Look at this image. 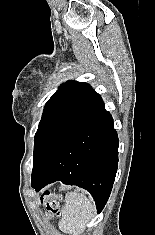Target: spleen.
I'll list each match as a JSON object with an SVG mask.
<instances>
[{"instance_id":"3e777b00","label":"spleen","mask_w":155,"mask_h":235,"mask_svg":"<svg viewBox=\"0 0 155 235\" xmlns=\"http://www.w3.org/2000/svg\"><path fill=\"white\" fill-rule=\"evenodd\" d=\"M65 201L59 222L60 228L73 235H82L96 210L95 204L85 194L77 192L68 193Z\"/></svg>"}]
</instances>
